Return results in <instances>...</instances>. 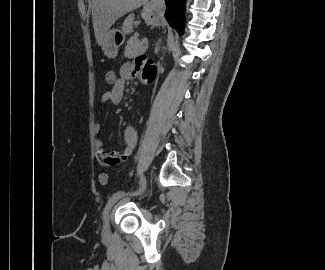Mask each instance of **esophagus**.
Here are the masks:
<instances>
[{"mask_svg": "<svg viewBox=\"0 0 325 270\" xmlns=\"http://www.w3.org/2000/svg\"><path fill=\"white\" fill-rule=\"evenodd\" d=\"M150 5L158 9H163L165 7L164 0H151Z\"/></svg>", "mask_w": 325, "mask_h": 270, "instance_id": "esophagus-1", "label": "esophagus"}]
</instances>
